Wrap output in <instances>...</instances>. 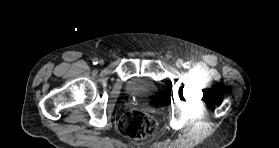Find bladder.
Instances as JSON below:
<instances>
[{"label": "bladder", "instance_id": "bladder-1", "mask_svg": "<svg viewBox=\"0 0 279 148\" xmlns=\"http://www.w3.org/2000/svg\"><path fill=\"white\" fill-rule=\"evenodd\" d=\"M126 91L145 101H151L159 96L160 87L149 77L134 76L127 81Z\"/></svg>", "mask_w": 279, "mask_h": 148}]
</instances>
